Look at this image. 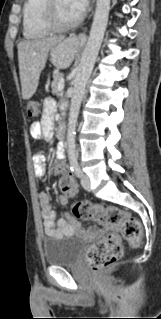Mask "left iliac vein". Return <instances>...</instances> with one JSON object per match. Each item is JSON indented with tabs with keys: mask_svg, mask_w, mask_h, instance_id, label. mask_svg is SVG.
I'll use <instances>...</instances> for the list:
<instances>
[{
	"mask_svg": "<svg viewBox=\"0 0 161 319\" xmlns=\"http://www.w3.org/2000/svg\"><path fill=\"white\" fill-rule=\"evenodd\" d=\"M81 185L85 190L90 191L91 185H90V179L88 176L84 175L81 179Z\"/></svg>",
	"mask_w": 161,
	"mask_h": 319,
	"instance_id": "left-iliac-vein-1",
	"label": "left iliac vein"
}]
</instances>
